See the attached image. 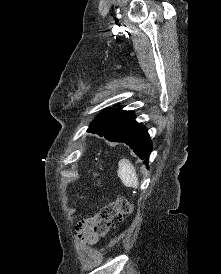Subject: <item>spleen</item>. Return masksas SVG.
Returning <instances> with one entry per match:
<instances>
[{"instance_id":"spleen-1","label":"spleen","mask_w":221,"mask_h":274,"mask_svg":"<svg viewBox=\"0 0 221 274\" xmlns=\"http://www.w3.org/2000/svg\"><path fill=\"white\" fill-rule=\"evenodd\" d=\"M118 177L127 187L137 189L139 187L138 176L134 166L127 159H121L118 162Z\"/></svg>"}]
</instances>
